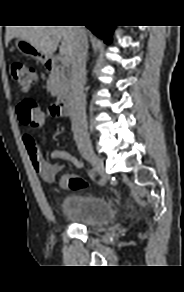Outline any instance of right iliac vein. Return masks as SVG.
Segmentation results:
<instances>
[{
    "instance_id": "right-iliac-vein-1",
    "label": "right iliac vein",
    "mask_w": 184,
    "mask_h": 292,
    "mask_svg": "<svg viewBox=\"0 0 184 292\" xmlns=\"http://www.w3.org/2000/svg\"><path fill=\"white\" fill-rule=\"evenodd\" d=\"M84 158L94 167L96 172L101 176L100 183L102 185L105 184L108 179V175L105 172L102 160L93 153L84 154Z\"/></svg>"
}]
</instances>
